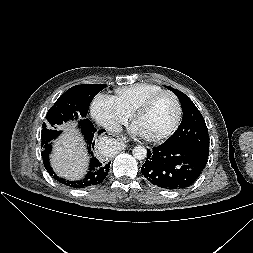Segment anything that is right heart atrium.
Segmentation results:
<instances>
[{
  "label": "right heart atrium",
  "mask_w": 253,
  "mask_h": 253,
  "mask_svg": "<svg viewBox=\"0 0 253 253\" xmlns=\"http://www.w3.org/2000/svg\"><path fill=\"white\" fill-rule=\"evenodd\" d=\"M91 115L98 125L110 132H117L128 121L112 96L105 94L95 96L91 104Z\"/></svg>",
  "instance_id": "d8ad5b80"
}]
</instances>
